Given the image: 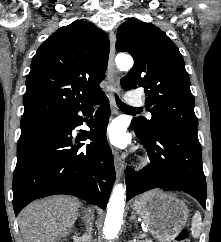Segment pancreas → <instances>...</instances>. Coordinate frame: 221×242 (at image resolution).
<instances>
[{
    "instance_id": "obj_1",
    "label": "pancreas",
    "mask_w": 221,
    "mask_h": 242,
    "mask_svg": "<svg viewBox=\"0 0 221 242\" xmlns=\"http://www.w3.org/2000/svg\"><path fill=\"white\" fill-rule=\"evenodd\" d=\"M141 242H153V241L152 240L145 239V240H142Z\"/></svg>"
}]
</instances>
